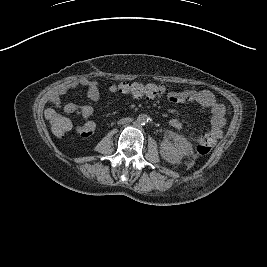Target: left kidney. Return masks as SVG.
Returning a JSON list of instances; mask_svg holds the SVG:
<instances>
[{
  "instance_id": "left-kidney-1",
  "label": "left kidney",
  "mask_w": 267,
  "mask_h": 267,
  "mask_svg": "<svg viewBox=\"0 0 267 267\" xmlns=\"http://www.w3.org/2000/svg\"><path fill=\"white\" fill-rule=\"evenodd\" d=\"M161 157L170 164H179L183 157L181 151H179L171 142L163 141L160 145Z\"/></svg>"
}]
</instances>
